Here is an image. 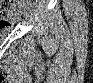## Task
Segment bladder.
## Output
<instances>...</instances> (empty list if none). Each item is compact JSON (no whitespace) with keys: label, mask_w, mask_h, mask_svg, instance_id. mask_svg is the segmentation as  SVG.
Returning a JSON list of instances; mask_svg holds the SVG:
<instances>
[{"label":"bladder","mask_w":93,"mask_h":83,"mask_svg":"<svg viewBox=\"0 0 93 83\" xmlns=\"http://www.w3.org/2000/svg\"><path fill=\"white\" fill-rule=\"evenodd\" d=\"M10 31V28H2V32L4 33V34H7L8 32Z\"/></svg>","instance_id":"31cf9c89"}]
</instances>
